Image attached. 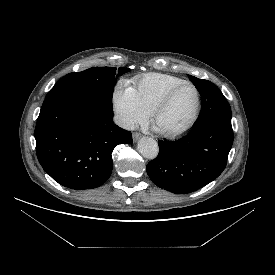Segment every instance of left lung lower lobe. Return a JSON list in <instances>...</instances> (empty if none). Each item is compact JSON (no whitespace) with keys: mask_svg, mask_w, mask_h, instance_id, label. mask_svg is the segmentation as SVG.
Here are the masks:
<instances>
[{"mask_svg":"<svg viewBox=\"0 0 275 275\" xmlns=\"http://www.w3.org/2000/svg\"><path fill=\"white\" fill-rule=\"evenodd\" d=\"M233 139L231 120L226 119L197 125L176 141L160 140L159 154L148 163L147 174L167 191H196L222 173Z\"/></svg>","mask_w":275,"mask_h":275,"instance_id":"obj_1","label":"left lung lower lobe"}]
</instances>
